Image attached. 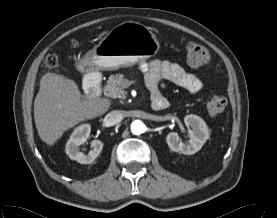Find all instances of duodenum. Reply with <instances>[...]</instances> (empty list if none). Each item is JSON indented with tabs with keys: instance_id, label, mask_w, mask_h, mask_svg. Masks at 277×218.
Masks as SVG:
<instances>
[{
	"instance_id": "obj_1",
	"label": "duodenum",
	"mask_w": 277,
	"mask_h": 218,
	"mask_svg": "<svg viewBox=\"0 0 277 218\" xmlns=\"http://www.w3.org/2000/svg\"><path fill=\"white\" fill-rule=\"evenodd\" d=\"M102 86V78L99 72L93 71L88 73L84 79V96L88 99H95L100 96ZM167 101L163 98H158L156 110H163L167 107Z\"/></svg>"
}]
</instances>
